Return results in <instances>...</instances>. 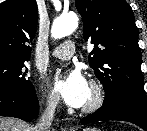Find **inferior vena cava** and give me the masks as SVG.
<instances>
[{"label":"inferior vena cava","instance_id":"obj_1","mask_svg":"<svg viewBox=\"0 0 147 131\" xmlns=\"http://www.w3.org/2000/svg\"><path fill=\"white\" fill-rule=\"evenodd\" d=\"M56 105V100L49 101L47 108L41 114L38 123L34 127V131H50V126L54 118Z\"/></svg>","mask_w":147,"mask_h":131}]
</instances>
